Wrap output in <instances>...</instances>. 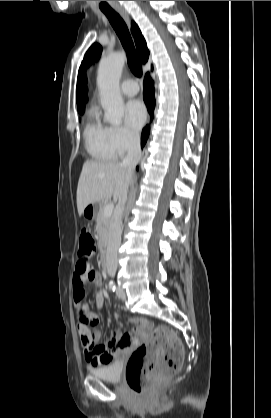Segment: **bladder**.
Listing matches in <instances>:
<instances>
[{
  "label": "bladder",
  "instance_id": "bladder-1",
  "mask_svg": "<svg viewBox=\"0 0 271 418\" xmlns=\"http://www.w3.org/2000/svg\"><path fill=\"white\" fill-rule=\"evenodd\" d=\"M123 363L121 361H112L104 366L90 369V373L107 382L116 383L120 381Z\"/></svg>",
  "mask_w": 271,
  "mask_h": 418
}]
</instances>
